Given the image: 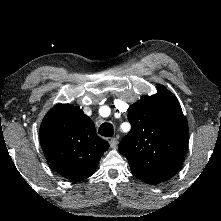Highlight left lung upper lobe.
Masks as SVG:
<instances>
[{"instance_id": "1", "label": "left lung upper lobe", "mask_w": 221, "mask_h": 221, "mask_svg": "<svg viewBox=\"0 0 221 221\" xmlns=\"http://www.w3.org/2000/svg\"><path fill=\"white\" fill-rule=\"evenodd\" d=\"M128 110L131 130L118 145L135 177L149 184L171 178L188 145V124L177 98L164 86Z\"/></svg>"}]
</instances>
